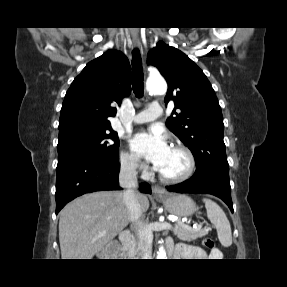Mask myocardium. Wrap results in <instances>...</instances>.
Wrapping results in <instances>:
<instances>
[{"instance_id":"1","label":"myocardium","mask_w":287,"mask_h":287,"mask_svg":"<svg viewBox=\"0 0 287 287\" xmlns=\"http://www.w3.org/2000/svg\"><path fill=\"white\" fill-rule=\"evenodd\" d=\"M171 148L181 151L185 154L188 160L187 169L184 173L178 176H167L161 173L159 170H158V175H159V178L166 183H181L191 178L192 175L194 174L196 170V166H197L196 157L194 153L192 152V150L183 144H175Z\"/></svg>"}]
</instances>
